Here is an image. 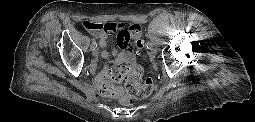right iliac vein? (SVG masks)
<instances>
[{"mask_svg":"<svg viewBox=\"0 0 255 122\" xmlns=\"http://www.w3.org/2000/svg\"><path fill=\"white\" fill-rule=\"evenodd\" d=\"M90 49H91L92 55L94 57L98 56V48H97V46H92L91 45Z\"/></svg>","mask_w":255,"mask_h":122,"instance_id":"right-iliac-vein-1","label":"right iliac vein"}]
</instances>
